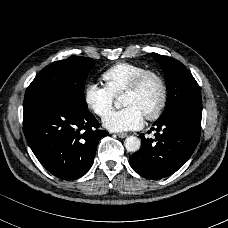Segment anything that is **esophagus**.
Instances as JSON below:
<instances>
[{
	"mask_svg": "<svg viewBox=\"0 0 228 228\" xmlns=\"http://www.w3.org/2000/svg\"><path fill=\"white\" fill-rule=\"evenodd\" d=\"M118 137L120 138H126L127 137V134L126 133H123V132H119L116 134Z\"/></svg>",
	"mask_w": 228,
	"mask_h": 228,
	"instance_id": "1",
	"label": "esophagus"
}]
</instances>
